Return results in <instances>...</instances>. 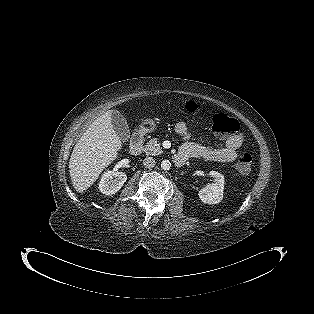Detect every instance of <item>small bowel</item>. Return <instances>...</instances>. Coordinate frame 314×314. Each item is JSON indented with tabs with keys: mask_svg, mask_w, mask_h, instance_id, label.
<instances>
[{
	"mask_svg": "<svg viewBox=\"0 0 314 314\" xmlns=\"http://www.w3.org/2000/svg\"><path fill=\"white\" fill-rule=\"evenodd\" d=\"M174 131L185 141L178 153V155L183 156L185 160L194 159L231 163L236 159L237 151L243 143V136L241 134L230 136L221 146L215 148L190 142L191 135L184 122L176 123Z\"/></svg>",
	"mask_w": 314,
	"mask_h": 314,
	"instance_id": "1",
	"label": "small bowel"
}]
</instances>
